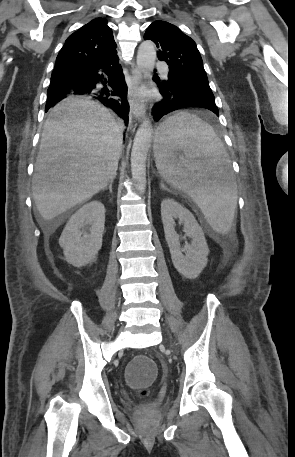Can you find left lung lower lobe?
Segmentation results:
<instances>
[{
    "label": "left lung lower lobe",
    "mask_w": 295,
    "mask_h": 457,
    "mask_svg": "<svg viewBox=\"0 0 295 457\" xmlns=\"http://www.w3.org/2000/svg\"><path fill=\"white\" fill-rule=\"evenodd\" d=\"M171 76L169 72L168 79ZM158 87L163 100L158 102L153 108L152 115L155 121H158L163 115L169 112L185 107H202L211 110L217 116L219 115L211 90L203 88L187 90L176 84L174 80H170L165 86L158 82Z\"/></svg>",
    "instance_id": "1"
}]
</instances>
